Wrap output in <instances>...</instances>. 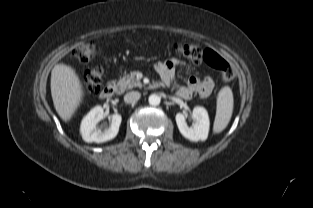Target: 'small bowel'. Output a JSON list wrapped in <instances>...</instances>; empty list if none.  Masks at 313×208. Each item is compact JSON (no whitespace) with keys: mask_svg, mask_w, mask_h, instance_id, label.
<instances>
[{"mask_svg":"<svg viewBox=\"0 0 313 208\" xmlns=\"http://www.w3.org/2000/svg\"><path fill=\"white\" fill-rule=\"evenodd\" d=\"M179 61L170 58L165 61L158 62L155 66L161 81L164 85H171L175 80V68ZM214 88V82L210 77L199 78L191 76L185 85H176V93L183 99H190L194 94L201 97H207Z\"/></svg>","mask_w":313,"mask_h":208,"instance_id":"obj_1","label":"small bowel"}]
</instances>
